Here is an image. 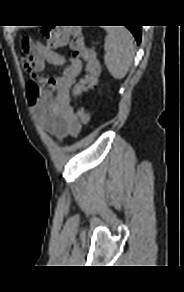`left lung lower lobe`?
I'll return each mask as SVG.
<instances>
[{"label":"left lung lower lobe","mask_w":184,"mask_h":292,"mask_svg":"<svg viewBox=\"0 0 184 292\" xmlns=\"http://www.w3.org/2000/svg\"><path fill=\"white\" fill-rule=\"evenodd\" d=\"M132 32L137 43L139 44L141 41V26H126Z\"/></svg>","instance_id":"0a47b994"}]
</instances>
